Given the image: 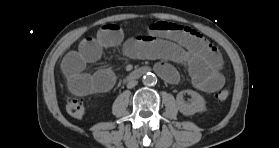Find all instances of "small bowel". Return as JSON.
<instances>
[{"instance_id": "small-bowel-1", "label": "small bowel", "mask_w": 279, "mask_h": 148, "mask_svg": "<svg viewBox=\"0 0 279 148\" xmlns=\"http://www.w3.org/2000/svg\"><path fill=\"white\" fill-rule=\"evenodd\" d=\"M118 46L126 57L158 60L155 71L171 84L179 80V74L170 62L186 67L194 86L204 92H216L225 83L222 58L214 45L191 27L158 21L145 34L127 40L116 24H106L94 37L83 39L61 62L69 90L79 96L110 90L116 81L112 70L90 75L85 68L98 61L104 49Z\"/></svg>"}]
</instances>
